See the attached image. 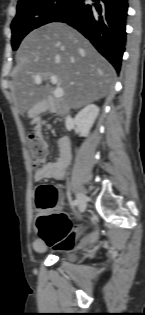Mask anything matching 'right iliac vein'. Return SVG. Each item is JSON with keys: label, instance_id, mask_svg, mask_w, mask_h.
Listing matches in <instances>:
<instances>
[{"label": "right iliac vein", "instance_id": "1", "mask_svg": "<svg viewBox=\"0 0 145 315\" xmlns=\"http://www.w3.org/2000/svg\"><path fill=\"white\" fill-rule=\"evenodd\" d=\"M87 197L83 193H77V201L80 212H84L87 207Z\"/></svg>", "mask_w": 145, "mask_h": 315}]
</instances>
